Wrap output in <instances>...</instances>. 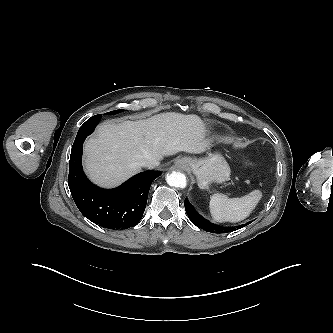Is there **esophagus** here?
Masks as SVG:
<instances>
[{"label": "esophagus", "mask_w": 333, "mask_h": 333, "mask_svg": "<svg viewBox=\"0 0 333 333\" xmlns=\"http://www.w3.org/2000/svg\"><path fill=\"white\" fill-rule=\"evenodd\" d=\"M179 165H182V166H186L187 165V162L185 160H180L178 162Z\"/></svg>", "instance_id": "34e87169"}]
</instances>
